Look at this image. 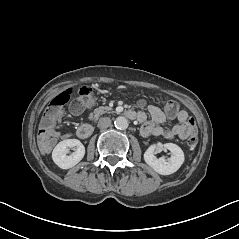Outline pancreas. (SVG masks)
<instances>
[{
  "instance_id": "obj_1",
  "label": "pancreas",
  "mask_w": 239,
  "mask_h": 239,
  "mask_svg": "<svg viewBox=\"0 0 239 239\" xmlns=\"http://www.w3.org/2000/svg\"><path fill=\"white\" fill-rule=\"evenodd\" d=\"M111 111V108L108 106H100L99 108H96L93 113L89 115L90 119L97 120L100 115L105 114L107 112Z\"/></svg>"
}]
</instances>
